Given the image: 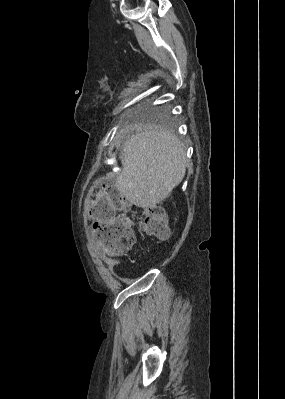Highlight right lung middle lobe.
Segmentation results:
<instances>
[{
    "instance_id": "obj_1",
    "label": "right lung middle lobe",
    "mask_w": 285,
    "mask_h": 399,
    "mask_svg": "<svg viewBox=\"0 0 285 399\" xmlns=\"http://www.w3.org/2000/svg\"><path fill=\"white\" fill-rule=\"evenodd\" d=\"M152 121L157 122V123H158V122H163L161 119L155 118V117L152 118Z\"/></svg>"
}]
</instances>
